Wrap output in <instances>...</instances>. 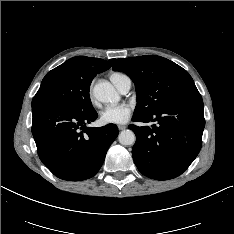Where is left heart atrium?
I'll return each instance as SVG.
<instances>
[{"instance_id": "obj_1", "label": "left heart atrium", "mask_w": 234, "mask_h": 234, "mask_svg": "<svg viewBox=\"0 0 234 234\" xmlns=\"http://www.w3.org/2000/svg\"><path fill=\"white\" fill-rule=\"evenodd\" d=\"M132 114V108L128 104H119L106 107L100 114L101 122L104 124H124Z\"/></svg>"}]
</instances>
